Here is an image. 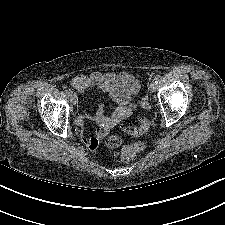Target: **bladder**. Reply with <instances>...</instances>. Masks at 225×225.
I'll return each instance as SVG.
<instances>
[{
	"label": "bladder",
	"mask_w": 225,
	"mask_h": 225,
	"mask_svg": "<svg viewBox=\"0 0 225 225\" xmlns=\"http://www.w3.org/2000/svg\"><path fill=\"white\" fill-rule=\"evenodd\" d=\"M110 97L112 101L119 105H128L133 101V93L122 90H114Z\"/></svg>",
	"instance_id": "1"
}]
</instances>
